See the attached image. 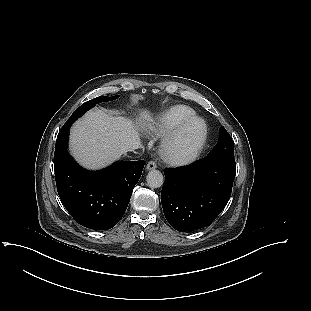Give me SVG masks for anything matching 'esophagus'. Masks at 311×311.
<instances>
[{"instance_id": "1", "label": "esophagus", "mask_w": 311, "mask_h": 311, "mask_svg": "<svg viewBox=\"0 0 311 311\" xmlns=\"http://www.w3.org/2000/svg\"><path fill=\"white\" fill-rule=\"evenodd\" d=\"M157 167L156 163L154 161H149L147 166H146V169L147 170H153Z\"/></svg>"}]
</instances>
